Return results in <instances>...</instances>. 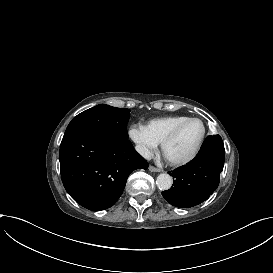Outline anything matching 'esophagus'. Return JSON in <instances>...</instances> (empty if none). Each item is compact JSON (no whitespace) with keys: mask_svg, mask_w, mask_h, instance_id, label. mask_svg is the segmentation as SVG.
<instances>
[{"mask_svg":"<svg viewBox=\"0 0 273 273\" xmlns=\"http://www.w3.org/2000/svg\"><path fill=\"white\" fill-rule=\"evenodd\" d=\"M149 170H150L151 172H160V171H161V169L156 168L155 166H152V165L149 166Z\"/></svg>","mask_w":273,"mask_h":273,"instance_id":"esophagus-1","label":"esophagus"}]
</instances>
